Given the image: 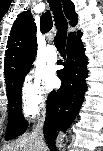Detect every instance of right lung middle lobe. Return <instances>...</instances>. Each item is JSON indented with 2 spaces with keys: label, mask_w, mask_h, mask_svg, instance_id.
I'll return each instance as SVG.
<instances>
[{
  "label": "right lung middle lobe",
  "mask_w": 103,
  "mask_h": 151,
  "mask_svg": "<svg viewBox=\"0 0 103 151\" xmlns=\"http://www.w3.org/2000/svg\"><path fill=\"white\" fill-rule=\"evenodd\" d=\"M27 72L28 71L23 73L9 87H6L9 103V120L5 135L6 140H11L17 136H20L27 130L28 127V123L23 117L21 108V88L24 76Z\"/></svg>",
  "instance_id": "right-lung-middle-lobe-1"
}]
</instances>
